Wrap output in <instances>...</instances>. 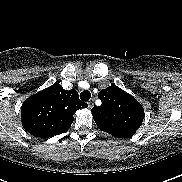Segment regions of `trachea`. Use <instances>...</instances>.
<instances>
[{
    "instance_id": "trachea-1",
    "label": "trachea",
    "mask_w": 182,
    "mask_h": 182,
    "mask_svg": "<svg viewBox=\"0 0 182 182\" xmlns=\"http://www.w3.org/2000/svg\"><path fill=\"white\" fill-rule=\"evenodd\" d=\"M91 97V93L88 90H84L80 93V99L83 101H88Z\"/></svg>"
}]
</instances>
